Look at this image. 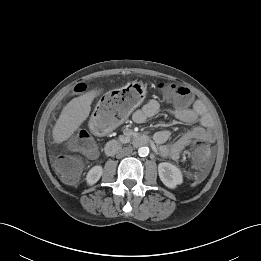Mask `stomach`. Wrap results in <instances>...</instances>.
Returning <instances> with one entry per match:
<instances>
[{"label": "stomach", "mask_w": 261, "mask_h": 261, "mask_svg": "<svg viewBox=\"0 0 261 261\" xmlns=\"http://www.w3.org/2000/svg\"><path fill=\"white\" fill-rule=\"evenodd\" d=\"M120 94L128 102V114L138 107L146 97V87L137 81L128 83ZM120 122L105 123L98 115H92L90 119V130L93 134L103 136L112 131Z\"/></svg>", "instance_id": "0dacf381"}]
</instances>
